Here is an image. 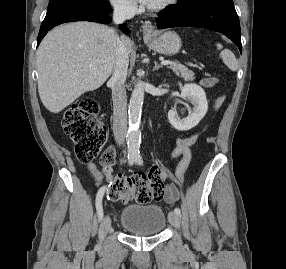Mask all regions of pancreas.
<instances>
[{"label":"pancreas","instance_id":"pancreas-1","mask_svg":"<svg viewBox=\"0 0 286 269\" xmlns=\"http://www.w3.org/2000/svg\"><path fill=\"white\" fill-rule=\"evenodd\" d=\"M169 68L172 69L177 76L184 78V80L194 79L193 71L189 70L187 67L183 66L179 62H172Z\"/></svg>","mask_w":286,"mask_h":269}]
</instances>
